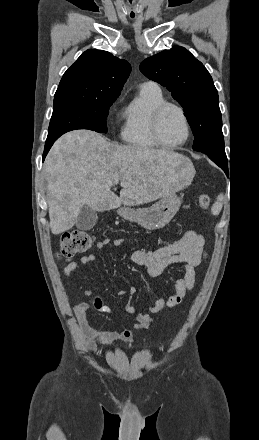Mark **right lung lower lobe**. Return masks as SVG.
Masks as SVG:
<instances>
[{"mask_svg":"<svg viewBox=\"0 0 259 440\" xmlns=\"http://www.w3.org/2000/svg\"><path fill=\"white\" fill-rule=\"evenodd\" d=\"M57 140V138H53L51 140H46L45 143V149H44V153H43V161L48 153V151L50 150L51 146L53 145V143Z\"/></svg>","mask_w":259,"mask_h":440,"instance_id":"98d812e1","label":"right lung lower lobe"}]
</instances>
